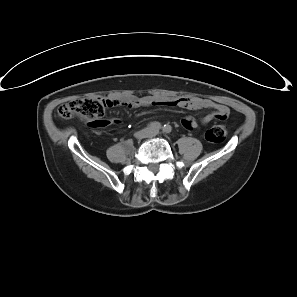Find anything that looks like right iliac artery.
I'll list each match as a JSON object with an SVG mask.
<instances>
[{"label": "right iliac artery", "mask_w": 297, "mask_h": 297, "mask_svg": "<svg viewBox=\"0 0 297 297\" xmlns=\"http://www.w3.org/2000/svg\"><path fill=\"white\" fill-rule=\"evenodd\" d=\"M148 127L152 128V129H161V124L159 122H151Z\"/></svg>", "instance_id": "right-iliac-artery-1"}]
</instances>
